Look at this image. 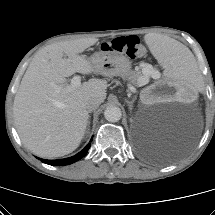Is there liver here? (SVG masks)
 Listing matches in <instances>:
<instances>
[{
	"label": "liver",
	"mask_w": 215,
	"mask_h": 215,
	"mask_svg": "<svg viewBox=\"0 0 215 215\" xmlns=\"http://www.w3.org/2000/svg\"><path fill=\"white\" fill-rule=\"evenodd\" d=\"M97 38L65 40L40 49L29 64L14 98L13 114L24 146L42 158L73 152L86 132V102L106 98L107 82L92 78L76 88L66 78L97 73L84 55ZM67 56V58H64Z\"/></svg>",
	"instance_id": "liver-1"
}]
</instances>
